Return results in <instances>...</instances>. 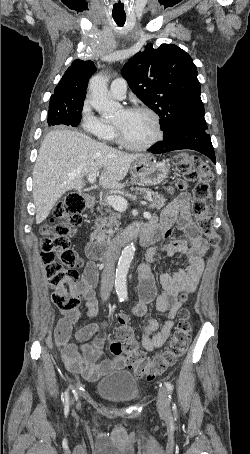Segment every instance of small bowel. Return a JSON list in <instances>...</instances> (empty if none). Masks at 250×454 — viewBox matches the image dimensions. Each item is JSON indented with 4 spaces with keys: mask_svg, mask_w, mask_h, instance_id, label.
<instances>
[{
    "mask_svg": "<svg viewBox=\"0 0 250 454\" xmlns=\"http://www.w3.org/2000/svg\"><path fill=\"white\" fill-rule=\"evenodd\" d=\"M177 224L185 238L173 236V226ZM147 242L165 240L160 246L151 247L147 251V261L154 262L159 251H166L170 257L180 256L185 266L173 274L163 273L159 277L162 289H159L155 275L148 264L140 266V301L134 307L136 316H143L149 304L155 301L159 312L167 313L168 320L160 327L156 318H151L142 333V346L148 351L162 347L169 339L175 324V316L182 305L177 301L180 292L191 294L195 291L204 268V253L207 244L193 222L190 214V198L187 193L180 194L164 210L159 223L151 224L143 233ZM98 281V267L90 262L83 270L76 292L83 297L86 305V317H94L98 313V301L94 288ZM78 310L65 312L58 321L54 340L65 367L88 381H96L114 369H121L125 359L117 356L114 359H103L102 348L104 335L96 324H88L77 329L75 339L80 347L71 341L74 325L82 318ZM122 317V316H121ZM157 332V333H155ZM155 333V334H154ZM93 339L92 344L87 343Z\"/></svg>",
    "mask_w": 250,
    "mask_h": 454,
    "instance_id": "small-bowel-1",
    "label": "small bowel"
}]
</instances>
